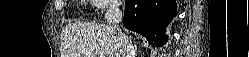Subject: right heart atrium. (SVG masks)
I'll return each mask as SVG.
<instances>
[{
	"instance_id": "d8ad5b80",
	"label": "right heart atrium",
	"mask_w": 249,
	"mask_h": 57,
	"mask_svg": "<svg viewBox=\"0 0 249 57\" xmlns=\"http://www.w3.org/2000/svg\"><path fill=\"white\" fill-rule=\"evenodd\" d=\"M93 2L97 8L105 10L108 8H113L115 5L118 4V1L114 0H95Z\"/></svg>"
}]
</instances>
